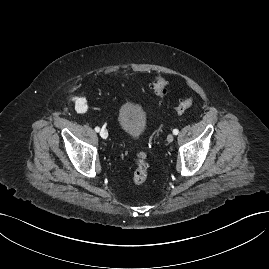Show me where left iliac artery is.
<instances>
[{
    "label": "left iliac artery",
    "mask_w": 269,
    "mask_h": 269,
    "mask_svg": "<svg viewBox=\"0 0 269 269\" xmlns=\"http://www.w3.org/2000/svg\"><path fill=\"white\" fill-rule=\"evenodd\" d=\"M178 133H179V130H178V129H174V130H173V134H174V135H177Z\"/></svg>",
    "instance_id": "1"
}]
</instances>
